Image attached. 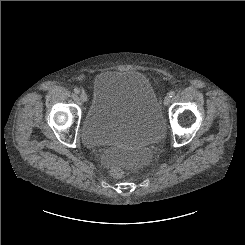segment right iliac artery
<instances>
[{
  "instance_id": "right-iliac-artery-1",
  "label": "right iliac artery",
  "mask_w": 245,
  "mask_h": 245,
  "mask_svg": "<svg viewBox=\"0 0 245 245\" xmlns=\"http://www.w3.org/2000/svg\"><path fill=\"white\" fill-rule=\"evenodd\" d=\"M74 92H75L76 94H79V93H80V90H79L78 88H75V89H74Z\"/></svg>"
}]
</instances>
